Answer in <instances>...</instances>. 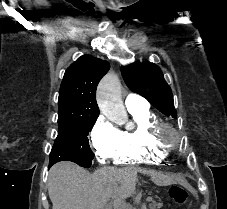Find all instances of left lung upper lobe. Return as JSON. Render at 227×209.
<instances>
[{
    "instance_id": "5c2ea615",
    "label": "left lung upper lobe",
    "mask_w": 227,
    "mask_h": 209,
    "mask_svg": "<svg viewBox=\"0 0 227 209\" xmlns=\"http://www.w3.org/2000/svg\"><path fill=\"white\" fill-rule=\"evenodd\" d=\"M121 73L131 91L146 98L164 115L176 117L171 88L156 64L135 62L121 67Z\"/></svg>"
}]
</instances>
